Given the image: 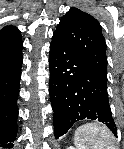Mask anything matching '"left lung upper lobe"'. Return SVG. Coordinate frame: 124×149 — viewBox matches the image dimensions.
Wrapping results in <instances>:
<instances>
[{"label":"left lung upper lobe","instance_id":"obj_1","mask_svg":"<svg viewBox=\"0 0 124 149\" xmlns=\"http://www.w3.org/2000/svg\"><path fill=\"white\" fill-rule=\"evenodd\" d=\"M99 73L107 76L106 42L99 22L72 7L55 31Z\"/></svg>","mask_w":124,"mask_h":149}]
</instances>
